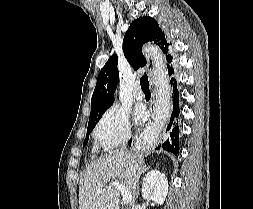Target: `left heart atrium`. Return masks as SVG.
<instances>
[{"mask_svg":"<svg viewBox=\"0 0 253 209\" xmlns=\"http://www.w3.org/2000/svg\"><path fill=\"white\" fill-rule=\"evenodd\" d=\"M145 116H146V112H145V109L142 108V107H139L135 110V113H134V119L137 123H140L142 122L144 119H145Z\"/></svg>","mask_w":253,"mask_h":209,"instance_id":"left-heart-atrium-1","label":"left heart atrium"}]
</instances>
